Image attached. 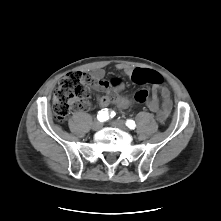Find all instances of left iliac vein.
<instances>
[{
  "label": "left iliac vein",
  "instance_id": "obj_1",
  "mask_svg": "<svg viewBox=\"0 0 221 221\" xmlns=\"http://www.w3.org/2000/svg\"><path fill=\"white\" fill-rule=\"evenodd\" d=\"M111 125L114 126V127L120 128L124 131L127 130L125 122L122 121V120H114V121L111 122Z\"/></svg>",
  "mask_w": 221,
  "mask_h": 221
}]
</instances>
